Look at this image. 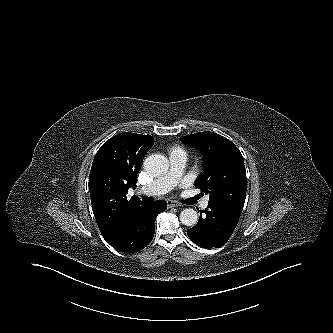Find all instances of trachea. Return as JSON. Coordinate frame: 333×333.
Masks as SVG:
<instances>
[{
    "label": "trachea",
    "mask_w": 333,
    "mask_h": 333,
    "mask_svg": "<svg viewBox=\"0 0 333 333\" xmlns=\"http://www.w3.org/2000/svg\"><path fill=\"white\" fill-rule=\"evenodd\" d=\"M143 201H152L153 198L147 197V196H143L142 197Z\"/></svg>",
    "instance_id": "obj_1"
}]
</instances>
